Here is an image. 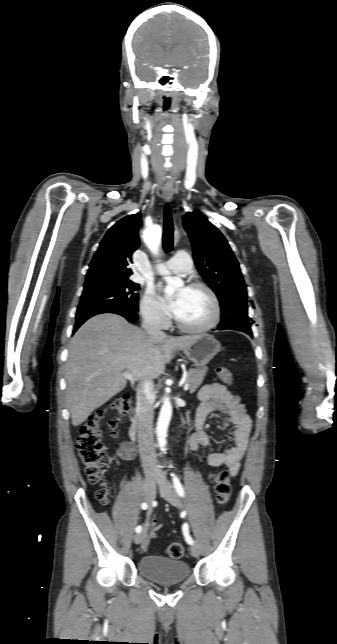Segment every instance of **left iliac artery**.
<instances>
[{"label":"left iliac artery","instance_id":"1","mask_svg":"<svg viewBox=\"0 0 337 644\" xmlns=\"http://www.w3.org/2000/svg\"><path fill=\"white\" fill-rule=\"evenodd\" d=\"M172 477H173V484H174V487H175V489H176L177 493H178L181 497H184L185 492H184V489H183V487H182V484H181V482H180L179 478H178L174 473L172 474ZM182 531H183V535H184V537H185L186 542H187L188 544H190V545H193V544H194V541H193L192 537H191V536H190V534H189V526H188V524H187V523L183 524V526H182Z\"/></svg>","mask_w":337,"mask_h":644}]
</instances>
